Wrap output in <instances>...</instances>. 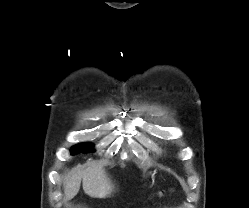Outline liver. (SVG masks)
<instances>
[{
  "label": "liver",
  "instance_id": "6515ba94",
  "mask_svg": "<svg viewBox=\"0 0 249 208\" xmlns=\"http://www.w3.org/2000/svg\"><path fill=\"white\" fill-rule=\"evenodd\" d=\"M81 181L84 192L95 198L109 197L114 188L103 167L91 163L83 170L73 169L64 176L66 200H71L77 195Z\"/></svg>",
  "mask_w": 249,
  "mask_h": 208
}]
</instances>
